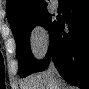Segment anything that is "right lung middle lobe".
<instances>
[{
	"instance_id": "1",
	"label": "right lung middle lobe",
	"mask_w": 89,
	"mask_h": 89,
	"mask_svg": "<svg viewBox=\"0 0 89 89\" xmlns=\"http://www.w3.org/2000/svg\"><path fill=\"white\" fill-rule=\"evenodd\" d=\"M58 21H52V15L47 11L37 13L18 21L11 27L16 40V54L19 73L22 78L34 73L40 61L36 60L30 49V33L34 26L42 25L52 35Z\"/></svg>"
}]
</instances>
